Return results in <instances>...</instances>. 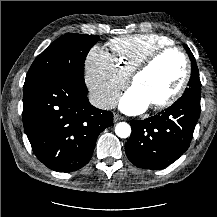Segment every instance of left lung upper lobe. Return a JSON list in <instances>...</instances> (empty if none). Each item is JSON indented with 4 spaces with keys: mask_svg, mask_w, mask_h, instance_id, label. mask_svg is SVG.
I'll return each instance as SVG.
<instances>
[{
    "mask_svg": "<svg viewBox=\"0 0 217 217\" xmlns=\"http://www.w3.org/2000/svg\"><path fill=\"white\" fill-rule=\"evenodd\" d=\"M184 48L190 57L192 70H191V77L188 83V87L185 89V92L183 95H187L193 98L200 99L201 82L199 79V71H198V68L195 62V58L187 45H184Z\"/></svg>",
    "mask_w": 217,
    "mask_h": 217,
    "instance_id": "left-lung-upper-lobe-1",
    "label": "left lung upper lobe"
}]
</instances>
